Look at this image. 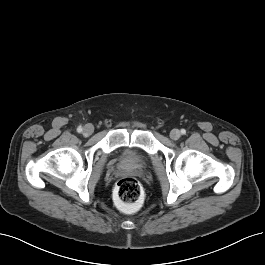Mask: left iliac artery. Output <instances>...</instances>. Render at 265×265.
Wrapping results in <instances>:
<instances>
[{
	"instance_id": "obj_1",
	"label": "left iliac artery",
	"mask_w": 265,
	"mask_h": 265,
	"mask_svg": "<svg viewBox=\"0 0 265 265\" xmlns=\"http://www.w3.org/2000/svg\"><path fill=\"white\" fill-rule=\"evenodd\" d=\"M181 133L182 134H186V130L185 129H181Z\"/></svg>"
}]
</instances>
